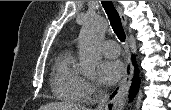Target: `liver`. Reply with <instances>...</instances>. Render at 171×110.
Instances as JSON below:
<instances>
[{
    "label": "liver",
    "mask_w": 171,
    "mask_h": 110,
    "mask_svg": "<svg viewBox=\"0 0 171 110\" xmlns=\"http://www.w3.org/2000/svg\"><path fill=\"white\" fill-rule=\"evenodd\" d=\"M39 110H87L84 107L64 102H53L41 106Z\"/></svg>",
    "instance_id": "1"
}]
</instances>
